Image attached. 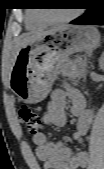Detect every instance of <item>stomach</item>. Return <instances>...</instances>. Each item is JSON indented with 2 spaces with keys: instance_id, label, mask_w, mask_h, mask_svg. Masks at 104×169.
I'll use <instances>...</instances> for the list:
<instances>
[{
  "instance_id": "1",
  "label": "stomach",
  "mask_w": 104,
  "mask_h": 169,
  "mask_svg": "<svg viewBox=\"0 0 104 169\" xmlns=\"http://www.w3.org/2000/svg\"><path fill=\"white\" fill-rule=\"evenodd\" d=\"M100 34L91 26L66 25L21 48L10 71L9 85L19 100L42 101L71 53L98 46Z\"/></svg>"
}]
</instances>
